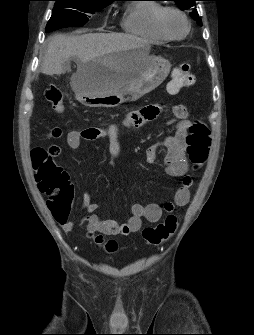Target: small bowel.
I'll use <instances>...</instances> for the list:
<instances>
[{
    "label": "small bowel",
    "mask_w": 254,
    "mask_h": 335,
    "mask_svg": "<svg viewBox=\"0 0 254 335\" xmlns=\"http://www.w3.org/2000/svg\"><path fill=\"white\" fill-rule=\"evenodd\" d=\"M158 112V106H145L139 110L130 112L123 123L126 126L139 127L145 122L154 119ZM170 113L171 115H175L176 118L175 121L170 122L175 123V133L163 143L167 150L165 169L168 175L179 177L182 180L181 186L175 192L174 201L166 202L163 207L155 203L147 205L133 203L131 205V216L125 223H120L115 220L102 219L95 214L99 206L92 202L89 193H85L83 195V208L88 212V215L83 221L87 223L89 232L104 235L127 236L141 229L143 219H146L150 223H155L160 220L163 211H172L174 206H185L189 203L192 179L188 175V161L185 149L187 130L191 123L188 119V111L184 104H171ZM62 135L63 131L60 127H53L50 130L49 138L60 139ZM98 139L108 140L109 151L113 159L117 160L121 157L122 148L118 140V127L116 124H111L105 129L87 128L72 130L67 134V144L73 150L77 149L82 141ZM53 146L56 145H50V147ZM158 148L159 145H152L146 149V160L148 163H154L156 161ZM55 219L64 232L68 233L73 230L75 223L68 218V215L65 219L60 216H55Z\"/></svg>",
    "instance_id": "1"
}]
</instances>
